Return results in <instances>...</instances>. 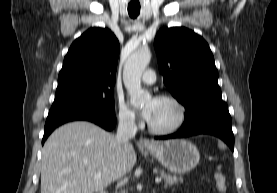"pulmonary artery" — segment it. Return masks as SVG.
<instances>
[{
	"mask_svg": "<svg viewBox=\"0 0 277 193\" xmlns=\"http://www.w3.org/2000/svg\"><path fill=\"white\" fill-rule=\"evenodd\" d=\"M142 81L146 84H153L156 81L155 72L151 69L146 70L142 75Z\"/></svg>",
	"mask_w": 277,
	"mask_h": 193,
	"instance_id": "obj_1",
	"label": "pulmonary artery"
}]
</instances>
